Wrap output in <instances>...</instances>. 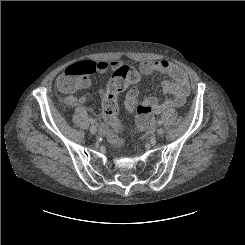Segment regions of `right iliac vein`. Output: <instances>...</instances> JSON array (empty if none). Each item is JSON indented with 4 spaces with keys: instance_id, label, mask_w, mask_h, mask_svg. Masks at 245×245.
<instances>
[{
    "instance_id": "right-iliac-vein-1",
    "label": "right iliac vein",
    "mask_w": 245,
    "mask_h": 245,
    "mask_svg": "<svg viewBox=\"0 0 245 245\" xmlns=\"http://www.w3.org/2000/svg\"><path fill=\"white\" fill-rule=\"evenodd\" d=\"M90 132H91L92 134H96V132H97L96 126L92 125V126L90 127Z\"/></svg>"
}]
</instances>
